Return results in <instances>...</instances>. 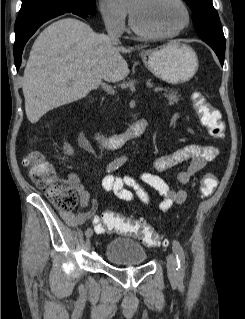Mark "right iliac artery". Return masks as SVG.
Returning a JSON list of instances; mask_svg holds the SVG:
<instances>
[{
    "mask_svg": "<svg viewBox=\"0 0 245 319\" xmlns=\"http://www.w3.org/2000/svg\"><path fill=\"white\" fill-rule=\"evenodd\" d=\"M126 161V157H120L114 161H112L108 166H107V172H112L115 171L116 169H118L123 163H125ZM92 230L91 229H87L86 230V234H92Z\"/></svg>",
    "mask_w": 245,
    "mask_h": 319,
    "instance_id": "82829eb1",
    "label": "right iliac artery"
}]
</instances>
